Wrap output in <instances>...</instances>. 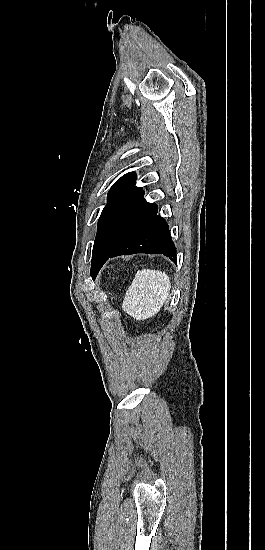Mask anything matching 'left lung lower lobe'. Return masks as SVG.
Listing matches in <instances>:
<instances>
[{
    "mask_svg": "<svg viewBox=\"0 0 265 550\" xmlns=\"http://www.w3.org/2000/svg\"><path fill=\"white\" fill-rule=\"evenodd\" d=\"M157 212L156 206L108 253L101 255L92 252L90 272L93 279L96 278L99 270L109 258L119 255L160 253L177 263L176 248L171 239L169 227L164 218L157 215Z\"/></svg>",
    "mask_w": 265,
    "mask_h": 550,
    "instance_id": "0a47b994",
    "label": "left lung lower lobe"
}]
</instances>
